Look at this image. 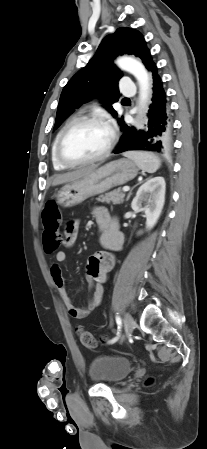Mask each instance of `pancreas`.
<instances>
[{
    "label": "pancreas",
    "instance_id": "obj_1",
    "mask_svg": "<svg viewBox=\"0 0 207 449\" xmlns=\"http://www.w3.org/2000/svg\"><path fill=\"white\" fill-rule=\"evenodd\" d=\"M125 193L121 192V190H113L111 192L106 193L105 195H100L97 198L98 202L102 203H113V204H121L124 202Z\"/></svg>",
    "mask_w": 207,
    "mask_h": 449
}]
</instances>
